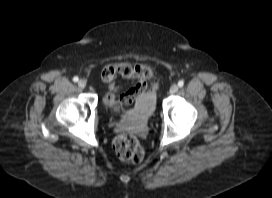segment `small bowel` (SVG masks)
<instances>
[{"label": "small bowel", "mask_w": 272, "mask_h": 198, "mask_svg": "<svg viewBox=\"0 0 272 198\" xmlns=\"http://www.w3.org/2000/svg\"><path fill=\"white\" fill-rule=\"evenodd\" d=\"M108 68L112 69V75L104 78L108 83L109 92L105 97V103L110 106L116 101L118 87L116 79L122 78L132 83L131 87L119 97L123 105H131L134 101L154 96L158 87V81L154 79L151 68L146 64H132L126 61L115 62Z\"/></svg>", "instance_id": "obj_1"}]
</instances>
